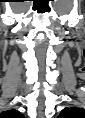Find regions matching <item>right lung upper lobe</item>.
Returning a JSON list of instances; mask_svg holds the SVG:
<instances>
[{"label":"right lung upper lobe","mask_w":85,"mask_h":118,"mask_svg":"<svg viewBox=\"0 0 85 118\" xmlns=\"http://www.w3.org/2000/svg\"><path fill=\"white\" fill-rule=\"evenodd\" d=\"M10 112H12V113H16L17 111H16V110H12V111H10Z\"/></svg>","instance_id":"right-lung-upper-lobe-1"}]
</instances>
